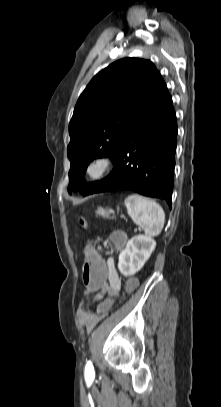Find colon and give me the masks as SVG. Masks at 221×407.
<instances>
[{
    "label": "colon",
    "mask_w": 221,
    "mask_h": 407,
    "mask_svg": "<svg viewBox=\"0 0 221 407\" xmlns=\"http://www.w3.org/2000/svg\"><path fill=\"white\" fill-rule=\"evenodd\" d=\"M79 223L82 227H86V220L84 217H80ZM111 241L116 248L123 246L125 242L124 234L115 232L111 236ZM85 261L84 271L82 272V279L85 292H102L103 286L108 284L109 269L106 265V258H103L102 252H96L92 243L88 242L84 248ZM138 277L131 275L129 281L125 284L127 292L137 291L138 289ZM124 291V288H121ZM122 295L119 292H111L105 299L100 301L98 307L99 314H107L110 312L111 307L116 304Z\"/></svg>",
    "instance_id": "obj_1"
}]
</instances>
